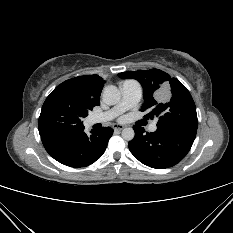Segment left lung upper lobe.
Listing matches in <instances>:
<instances>
[{"mask_svg": "<svg viewBox=\"0 0 233 233\" xmlns=\"http://www.w3.org/2000/svg\"><path fill=\"white\" fill-rule=\"evenodd\" d=\"M122 79L133 78L143 87L144 104L141 111L159 117L157 129L196 131L198 120L194 101L186 87L176 78L159 70H138L118 74ZM167 93L168 99L161 101L159 95Z\"/></svg>", "mask_w": 233, "mask_h": 233, "instance_id": "obj_1", "label": "left lung upper lobe"}]
</instances>
